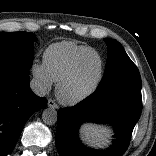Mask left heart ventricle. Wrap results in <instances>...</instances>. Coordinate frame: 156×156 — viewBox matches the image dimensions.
<instances>
[{
	"mask_svg": "<svg viewBox=\"0 0 156 156\" xmlns=\"http://www.w3.org/2000/svg\"><path fill=\"white\" fill-rule=\"evenodd\" d=\"M100 73V60L96 54L88 55L79 65L71 82L66 86L64 94L76 97L88 90L97 80Z\"/></svg>",
	"mask_w": 156,
	"mask_h": 156,
	"instance_id": "b2bd125f",
	"label": "left heart ventricle"
}]
</instances>
